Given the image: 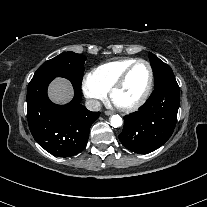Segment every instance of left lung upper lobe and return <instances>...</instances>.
Instances as JSON below:
<instances>
[{
  "label": "left lung upper lobe",
  "mask_w": 207,
  "mask_h": 207,
  "mask_svg": "<svg viewBox=\"0 0 207 207\" xmlns=\"http://www.w3.org/2000/svg\"><path fill=\"white\" fill-rule=\"evenodd\" d=\"M151 66L154 70L155 89L170 83H177L172 69L157 56L149 53Z\"/></svg>",
  "instance_id": "left-lung-upper-lobe-1"
}]
</instances>
